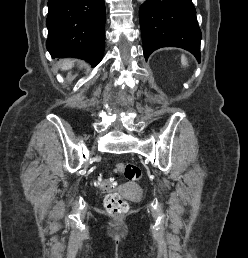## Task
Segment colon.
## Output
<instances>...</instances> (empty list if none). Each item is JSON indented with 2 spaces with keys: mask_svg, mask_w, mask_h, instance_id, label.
Listing matches in <instances>:
<instances>
[{
  "mask_svg": "<svg viewBox=\"0 0 248 258\" xmlns=\"http://www.w3.org/2000/svg\"><path fill=\"white\" fill-rule=\"evenodd\" d=\"M114 173L122 175L130 182L140 181L143 177L142 169L138 165L126 162H118L115 165ZM96 184L102 190H112L115 187L114 177H100ZM105 208L112 215H121L128 210V203L120 194L111 193L105 199Z\"/></svg>",
  "mask_w": 248,
  "mask_h": 258,
  "instance_id": "colon-1",
  "label": "colon"
}]
</instances>
